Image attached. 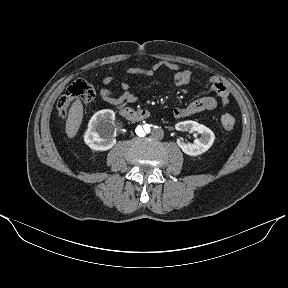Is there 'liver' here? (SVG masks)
<instances>
[{
  "mask_svg": "<svg viewBox=\"0 0 288 288\" xmlns=\"http://www.w3.org/2000/svg\"><path fill=\"white\" fill-rule=\"evenodd\" d=\"M83 119V105L80 100L73 102L69 109L68 118L66 121V134L68 138H73L81 125Z\"/></svg>",
  "mask_w": 288,
  "mask_h": 288,
  "instance_id": "obj_1",
  "label": "liver"
}]
</instances>
